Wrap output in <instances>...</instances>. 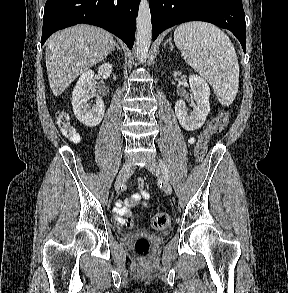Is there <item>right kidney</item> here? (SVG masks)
Here are the masks:
<instances>
[{
  "label": "right kidney",
  "instance_id": "ca27d5eb",
  "mask_svg": "<svg viewBox=\"0 0 288 293\" xmlns=\"http://www.w3.org/2000/svg\"><path fill=\"white\" fill-rule=\"evenodd\" d=\"M112 65L105 63L98 68V73L103 79L110 77ZM94 71L86 70L78 79L72 93V106L76 118L88 127L97 126L103 119L105 104L102 98L97 97L94 106L91 108L87 102L93 98Z\"/></svg>",
  "mask_w": 288,
  "mask_h": 293
}]
</instances>
